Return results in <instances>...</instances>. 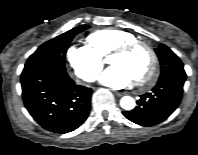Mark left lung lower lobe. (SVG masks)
Segmentation results:
<instances>
[{
    "label": "left lung lower lobe",
    "instance_id": "0a47b994",
    "mask_svg": "<svg viewBox=\"0 0 198 155\" xmlns=\"http://www.w3.org/2000/svg\"><path fill=\"white\" fill-rule=\"evenodd\" d=\"M185 73H176L159 79L151 93L140 96L138 106L123 115L130 121L141 126H153L166 120L179 106ZM148 112L149 118H142L141 114Z\"/></svg>",
    "mask_w": 198,
    "mask_h": 155
}]
</instances>
